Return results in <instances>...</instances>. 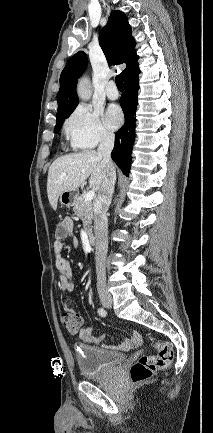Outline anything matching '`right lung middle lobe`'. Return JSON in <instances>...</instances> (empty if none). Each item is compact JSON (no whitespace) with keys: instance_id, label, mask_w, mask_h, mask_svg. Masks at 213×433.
Here are the masks:
<instances>
[{"instance_id":"obj_1","label":"right lung middle lobe","mask_w":213,"mask_h":433,"mask_svg":"<svg viewBox=\"0 0 213 433\" xmlns=\"http://www.w3.org/2000/svg\"><path fill=\"white\" fill-rule=\"evenodd\" d=\"M72 112H73V110H72L70 113H68L67 115H65L64 117H62L61 119L57 120V123H56L55 129H54V132H55V133H57V132L59 131V128H60L62 122L65 120V118H67L68 116H70V114H71Z\"/></svg>"}]
</instances>
